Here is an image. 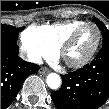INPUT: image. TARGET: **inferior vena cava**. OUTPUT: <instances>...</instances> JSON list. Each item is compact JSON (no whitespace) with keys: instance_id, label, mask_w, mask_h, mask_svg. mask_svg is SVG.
I'll return each instance as SVG.
<instances>
[{"instance_id":"inferior-vena-cava-1","label":"inferior vena cava","mask_w":109,"mask_h":109,"mask_svg":"<svg viewBox=\"0 0 109 109\" xmlns=\"http://www.w3.org/2000/svg\"><path fill=\"white\" fill-rule=\"evenodd\" d=\"M28 60L39 65L43 63L42 59L37 57H29Z\"/></svg>"}]
</instances>
